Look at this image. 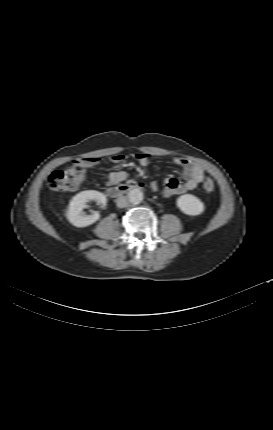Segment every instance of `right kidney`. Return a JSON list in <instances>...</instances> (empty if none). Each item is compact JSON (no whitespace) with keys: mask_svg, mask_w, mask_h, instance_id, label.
Masks as SVG:
<instances>
[{"mask_svg":"<svg viewBox=\"0 0 273 430\" xmlns=\"http://www.w3.org/2000/svg\"><path fill=\"white\" fill-rule=\"evenodd\" d=\"M93 200L103 205H105L107 201L103 193L95 190L82 191L72 198L66 214L67 219L72 225L76 227H86L99 220L100 214L98 212L92 215H86L82 211L85 204Z\"/></svg>","mask_w":273,"mask_h":430,"instance_id":"right-kidney-1","label":"right kidney"}]
</instances>
